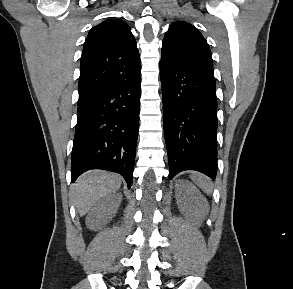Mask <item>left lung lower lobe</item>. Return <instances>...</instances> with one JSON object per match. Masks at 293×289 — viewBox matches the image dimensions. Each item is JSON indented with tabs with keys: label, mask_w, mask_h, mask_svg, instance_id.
<instances>
[{
	"label": "left lung lower lobe",
	"mask_w": 293,
	"mask_h": 289,
	"mask_svg": "<svg viewBox=\"0 0 293 289\" xmlns=\"http://www.w3.org/2000/svg\"><path fill=\"white\" fill-rule=\"evenodd\" d=\"M169 179L196 170L217 172V100L213 72L160 61Z\"/></svg>",
	"instance_id": "1"
}]
</instances>
